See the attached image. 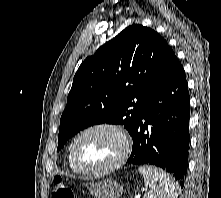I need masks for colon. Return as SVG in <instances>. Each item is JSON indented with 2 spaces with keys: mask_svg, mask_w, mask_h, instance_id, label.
I'll return each mask as SVG.
<instances>
[{
  "mask_svg": "<svg viewBox=\"0 0 221 198\" xmlns=\"http://www.w3.org/2000/svg\"><path fill=\"white\" fill-rule=\"evenodd\" d=\"M52 198H75L72 189L61 178L55 180Z\"/></svg>",
  "mask_w": 221,
  "mask_h": 198,
  "instance_id": "colon-1",
  "label": "colon"
}]
</instances>
